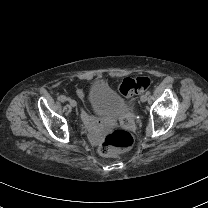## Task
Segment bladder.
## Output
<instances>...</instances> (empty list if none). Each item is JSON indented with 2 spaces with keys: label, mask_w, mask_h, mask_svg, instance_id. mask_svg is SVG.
Listing matches in <instances>:
<instances>
[{
  "label": "bladder",
  "mask_w": 208,
  "mask_h": 208,
  "mask_svg": "<svg viewBox=\"0 0 208 208\" xmlns=\"http://www.w3.org/2000/svg\"><path fill=\"white\" fill-rule=\"evenodd\" d=\"M89 102L92 111L99 114L117 115L126 109L122 97L105 82H93L89 85Z\"/></svg>",
  "instance_id": "bladder-1"
}]
</instances>
